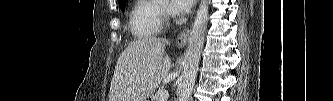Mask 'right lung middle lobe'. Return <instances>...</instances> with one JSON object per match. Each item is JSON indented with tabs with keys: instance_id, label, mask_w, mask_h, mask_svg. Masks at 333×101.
Instances as JSON below:
<instances>
[{
	"instance_id": "right-lung-middle-lobe-1",
	"label": "right lung middle lobe",
	"mask_w": 333,
	"mask_h": 101,
	"mask_svg": "<svg viewBox=\"0 0 333 101\" xmlns=\"http://www.w3.org/2000/svg\"><path fill=\"white\" fill-rule=\"evenodd\" d=\"M126 2H127V1H126ZM126 2H124V3H122V4H119L120 9L122 10V12H124Z\"/></svg>"
}]
</instances>
